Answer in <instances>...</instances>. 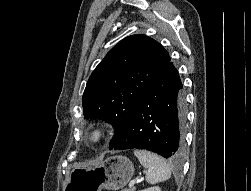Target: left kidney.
<instances>
[{
    "label": "left kidney",
    "instance_id": "1",
    "mask_svg": "<svg viewBox=\"0 0 251 191\" xmlns=\"http://www.w3.org/2000/svg\"><path fill=\"white\" fill-rule=\"evenodd\" d=\"M141 191H161V187L154 185V187H147V189H141Z\"/></svg>",
    "mask_w": 251,
    "mask_h": 191
}]
</instances>
